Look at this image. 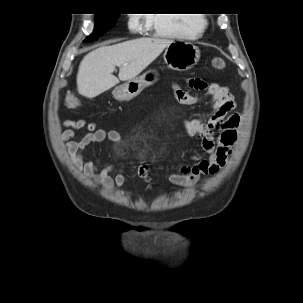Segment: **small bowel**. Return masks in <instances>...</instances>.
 Returning a JSON list of instances; mask_svg holds the SVG:
<instances>
[{"mask_svg":"<svg viewBox=\"0 0 303 303\" xmlns=\"http://www.w3.org/2000/svg\"><path fill=\"white\" fill-rule=\"evenodd\" d=\"M187 83L197 90H203L204 94L191 95L174 82V96L180 104L193 106L203 102L205 98L210 100L207 119L192 118L183 121L182 124L183 131L187 135L200 140V148L202 152L208 154V158L200 159L196 156L195 158L198 159L196 165L179 166L175 172H170L169 181L177 187H187L196 182L203 174L213 175L219 172L226 163L237 139L238 119H225V116L235 109V102L229 89L219 83L207 84L195 78L188 79ZM76 131H83L86 134L82 139L77 140ZM59 139L65 143V148L73 164L86 177L108 190L123 186L125 176L122 168L112 176L113 164L102 166L99 159L94 161L84 159L85 149L93 144L109 141L122 145L124 138L117 131L98 128L95 122L85 119L65 120L62 123ZM137 175L147 184L154 183L147 164L138 166Z\"/></svg>","mask_w":303,"mask_h":303,"instance_id":"small-bowel-1","label":"small bowel"}]
</instances>
